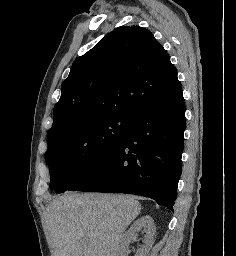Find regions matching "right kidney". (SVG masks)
<instances>
[{"instance_id":"obj_1","label":"right kidney","mask_w":236,"mask_h":256,"mask_svg":"<svg viewBox=\"0 0 236 256\" xmlns=\"http://www.w3.org/2000/svg\"><path fill=\"white\" fill-rule=\"evenodd\" d=\"M142 228H144L145 240H143V246L138 248L135 256H148L154 244V236L156 232L154 220L151 216H142L139 220H135L131 228L123 234L119 244V256H127L130 242H136L137 232H140Z\"/></svg>"}]
</instances>
